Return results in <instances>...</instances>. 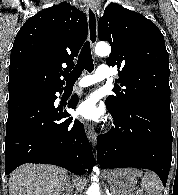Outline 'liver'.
I'll list each match as a JSON object with an SVG mask.
<instances>
[{
	"mask_svg": "<svg viewBox=\"0 0 178 195\" xmlns=\"http://www.w3.org/2000/svg\"><path fill=\"white\" fill-rule=\"evenodd\" d=\"M67 183L68 172L63 168L25 164L11 173L9 195H61Z\"/></svg>",
	"mask_w": 178,
	"mask_h": 195,
	"instance_id": "1",
	"label": "liver"
}]
</instances>
